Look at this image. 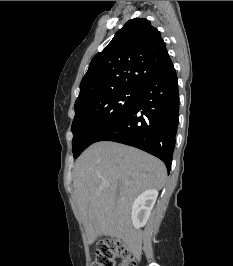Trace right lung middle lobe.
Listing matches in <instances>:
<instances>
[{"label": "right lung middle lobe", "instance_id": "obj_1", "mask_svg": "<svg viewBox=\"0 0 233 266\" xmlns=\"http://www.w3.org/2000/svg\"><path fill=\"white\" fill-rule=\"evenodd\" d=\"M139 89H116L75 103L72 152L77 158L133 105Z\"/></svg>", "mask_w": 233, "mask_h": 266}]
</instances>
